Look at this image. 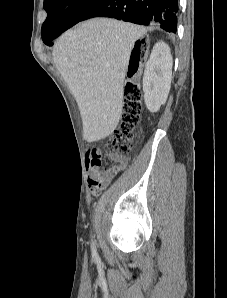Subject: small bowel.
<instances>
[{
    "instance_id": "c3829d8e",
    "label": "small bowel",
    "mask_w": 227,
    "mask_h": 298,
    "mask_svg": "<svg viewBox=\"0 0 227 298\" xmlns=\"http://www.w3.org/2000/svg\"><path fill=\"white\" fill-rule=\"evenodd\" d=\"M102 153L98 146H89L88 150L84 154L86 158V165L91 170L89 176V185L93 193H98L110 179L115 177L120 171L124 170L128 165V159L124 156L118 154H112L111 158L114 164L102 171H99L101 165ZM97 181L99 185L96 187L91 186V184Z\"/></svg>"
}]
</instances>
